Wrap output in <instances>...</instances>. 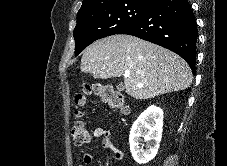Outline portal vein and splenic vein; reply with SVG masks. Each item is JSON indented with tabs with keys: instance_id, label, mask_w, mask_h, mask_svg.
<instances>
[{
	"instance_id": "portal-vein-and-splenic-vein-1",
	"label": "portal vein and splenic vein",
	"mask_w": 227,
	"mask_h": 166,
	"mask_svg": "<svg viewBox=\"0 0 227 166\" xmlns=\"http://www.w3.org/2000/svg\"><path fill=\"white\" fill-rule=\"evenodd\" d=\"M129 75L128 74H125L124 77L127 78Z\"/></svg>"
}]
</instances>
